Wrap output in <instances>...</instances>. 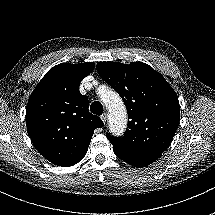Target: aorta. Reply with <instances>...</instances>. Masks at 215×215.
I'll return each instance as SVG.
<instances>
[{"mask_svg": "<svg viewBox=\"0 0 215 215\" xmlns=\"http://www.w3.org/2000/svg\"><path fill=\"white\" fill-rule=\"evenodd\" d=\"M110 115L111 131L121 134L127 127V111L122 98L109 90L101 95Z\"/></svg>", "mask_w": 215, "mask_h": 215, "instance_id": "obj_1", "label": "aorta"}]
</instances>
